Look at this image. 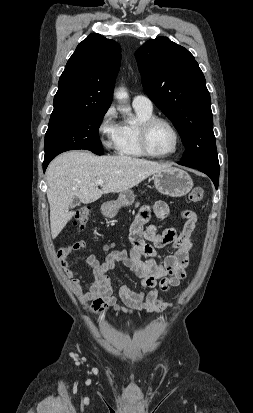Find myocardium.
<instances>
[{
	"instance_id": "myocardium-1",
	"label": "myocardium",
	"mask_w": 253,
	"mask_h": 413,
	"mask_svg": "<svg viewBox=\"0 0 253 413\" xmlns=\"http://www.w3.org/2000/svg\"><path fill=\"white\" fill-rule=\"evenodd\" d=\"M156 123H164L166 124L173 132L174 137H175V144L173 149L168 152V153H164V154H159V153H155L151 147H150V143H149V133L151 128L156 124ZM138 140H139V145L140 148L142 150V152L149 157H153V158H167L170 157L172 155H174L180 147L181 144V136L180 133L177 129V127L174 125V123L165 118V117H161V116H151L145 120H142L139 125H138Z\"/></svg>"
}]
</instances>
